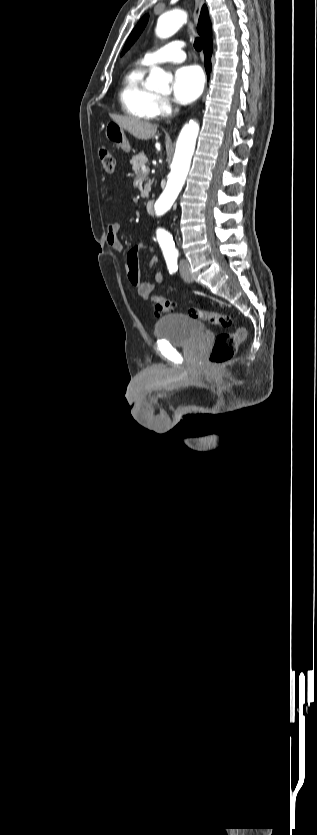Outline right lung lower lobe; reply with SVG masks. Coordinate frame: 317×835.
Segmentation results:
<instances>
[{"instance_id":"1","label":"right lung lower lobe","mask_w":317,"mask_h":835,"mask_svg":"<svg viewBox=\"0 0 317 835\" xmlns=\"http://www.w3.org/2000/svg\"><path fill=\"white\" fill-rule=\"evenodd\" d=\"M204 42L203 52L205 54V68L207 75L211 71V54H212V29H208L204 36H202Z\"/></svg>"}]
</instances>
